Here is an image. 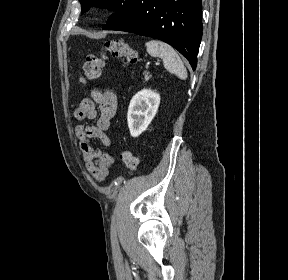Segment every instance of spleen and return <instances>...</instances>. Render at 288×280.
<instances>
[{"instance_id":"1","label":"spleen","mask_w":288,"mask_h":280,"mask_svg":"<svg viewBox=\"0 0 288 280\" xmlns=\"http://www.w3.org/2000/svg\"><path fill=\"white\" fill-rule=\"evenodd\" d=\"M145 46L151 56L159 57L163 60L167 71L174 73L182 80L187 78V70L182 60L170 45L162 41L150 40L145 43Z\"/></svg>"}]
</instances>
